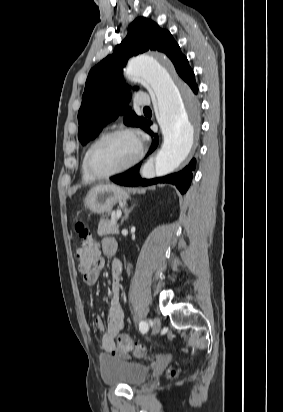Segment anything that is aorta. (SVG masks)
<instances>
[{"label": "aorta", "instance_id": "obj_1", "mask_svg": "<svg viewBox=\"0 0 283 412\" xmlns=\"http://www.w3.org/2000/svg\"><path fill=\"white\" fill-rule=\"evenodd\" d=\"M170 72L169 66L149 55L133 58L127 65L129 77L143 83L156 98L157 118L164 137L154 159L156 176L170 174L179 167L189 155L196 134L191 117V112L196 111L192 93L185 85L177 86Z\"/></svg>", "mask_w": 283, "mask_h": 412}]
</instances>
